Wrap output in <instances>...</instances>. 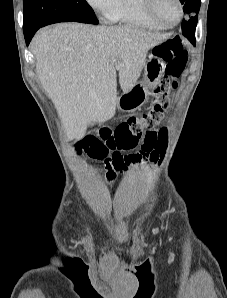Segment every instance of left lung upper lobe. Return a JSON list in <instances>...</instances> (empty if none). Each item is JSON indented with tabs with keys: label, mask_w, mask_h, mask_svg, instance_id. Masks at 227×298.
Segmentation results:
<instances>
[{
	"label": "left lung upper lobe",
	"mask_w": 227,
	"mask_h": 298,
	"mask_svg": "<svg viewBox=\"0 0 227 298\" xmlns=\"http://www.w3.org/2000/svg\"><path fill=\"white\" fill-rule=\"evenodd\" d=\"M180 2L183 4L184 13L190 16L181 24L182 33L190 42L195 41V29L198 21L196 14L199 12L201 0H180Z\"/></svg>",
	"instance_id": "left-lung-upper-lobe-1"
}]
</instances>
